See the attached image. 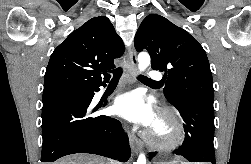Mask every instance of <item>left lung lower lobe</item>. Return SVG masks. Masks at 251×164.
<instances>
[{
    "instance_id": "left-lung-lower-lobe-1",
    "label": "left lung lower lobe",
    "mask_w": 251,
    "mask_h": 164,
    "mask_svg": "<svg viewBox=\"0 0 251 164\" xmlns=\"http://www.w3.org/2000/svg\"><path fill=\"white\" fill-rule=\"evenodd\" d=\"M174 106L181 114L185 131V140L174 153L190 162L215 164L213 102L184 99ZM153 156H155L154 153L149 158L152 159Z\"/></svg>"
}]
</instances>
